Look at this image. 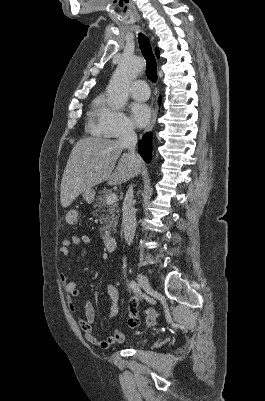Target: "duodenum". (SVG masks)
Returning a JSON list of instances; mask_svg holds the SVG:
<instances>
[{"label": "duodenum", "instance_id": "obj_1", "mask_svg": "<svg viewBox=\"0 0 265 401\" xmlns=\"http://www.w3.org/2000/svg\"><path fill=\"white\" fill-rule=\"evenodd\" d=\"M104 246L107 251H114L117 247V239L114 236H108L104 240Z\"/></svg>", "mask_w": 265, "mask_h": 401}]
</instances>
